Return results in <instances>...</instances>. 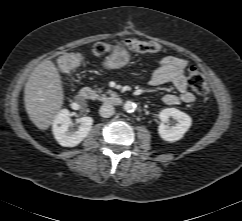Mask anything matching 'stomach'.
<instances>
[{"instance_id":"stomach-1","label":"stomach","mask_w":242,"mask_h":221,"mask_svg":"<svg viewBox=\"0 0 242 221\" xmlns=\"http://www.w3.org/2000/svg\"><path fill=\"white\" fill-rule=\"evenodd\" d=\"M131 55L124 44H116L110 55L102 62V66L106 69L113 70L126 66L130 61Z\"/></svg>"}]
</instances>
